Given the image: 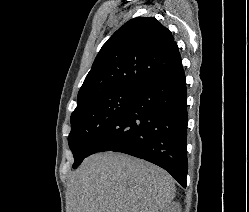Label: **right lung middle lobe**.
Here are the masks:
<instances>
[{
    "label": "right lung middle lobe",
    "mask_w": 249,
    "mask_h": 212,
    "mask_svg": "<svg viewBox=\"0 0 249 212\" xmlns=\"http://www.w3.org/2000/svg\"><path fill=\"white\" fill-rule=\"evenodd\" d=\"M138 92L116 91L94 96L77 105L71 115L69 147L74 155L73 168L78 167L95 141L128 107Z\"/></svg>",
    "instance_id": "1"
}]
</instances>
